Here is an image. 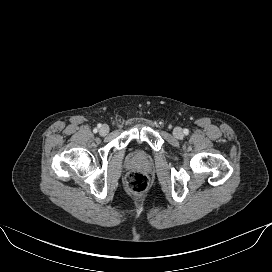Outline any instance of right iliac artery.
<instances>
[{"label": "right iliac artery", "instance_id": "right-iliac-artery-1", "mask_svg": "<svg viewBox=\"0 0 272 272\" xmlns=\"http://www.w3.org/2000/svg\"><path fill=\"white\" fill-rule=\"evenodd\" d=\"M101 127V124H98V128H100Z\"/></svg>", "mask_w": 272, "mask_h": 272}]
</instances>
